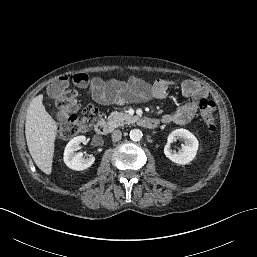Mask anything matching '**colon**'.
Wrapping results in <instances>:
<instances>
[{"label": "colon", "instance_id": "obj_1", "mask_svg": "<svg viewBox=\"0 0 257 257\" xmlns=\"http://www.w3.org/2000/svg\"><path fill=\"white\" fill-rule=\"evenodd\" d=\"M88 82L89 76L87 74H69L56 78L49 87V93L56 99L58 113L63 118L57 128V136L60 139L69 140L78 134L87 132L99 119L97 109L92 106L83 109V116L75 115V112L80 108L77 92L68 87L70 84L85 87ZM199 108L206 129L213 133L215 131V102L203 97L199 101Z\"/></svg>", "mask_w": 257, "mask_h": 257}]
</instances>
